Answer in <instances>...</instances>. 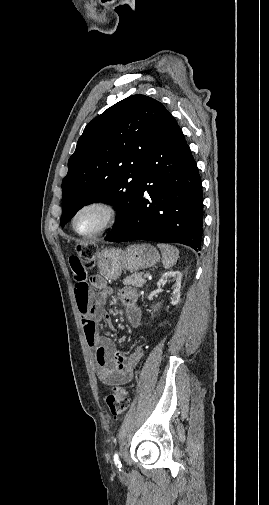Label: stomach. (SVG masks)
Wrapping results in <instances>:
<instances>
[{"mask_svg":"<svg viewBox=\"0 0 269 505\" xmlns=\"http://www.w3.org/2000/svg\"><path fill=\"white\" fill-rule=\"evenodd\" d=\"M160 259L158 250L151 244H132L125 250L107 248L97 256V266L109 280L117 279L122 271L136 272L153 266Z\"/></svg>","mask_w":269,"mask_h":505,"instance_id":"1","label":"stomach"}]
</instances>
